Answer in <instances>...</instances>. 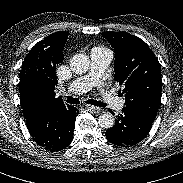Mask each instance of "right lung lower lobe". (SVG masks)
I'll list each match as a JSON object with an SVG mask.
<instances>
[{
  "label": "right lung lower lobe",
  "mask_w": 183,
  "mask_h": 183,
  "mask_svg": "<svg viewBox=\"0 0 183 183\" xmlns=\"http://www.w3.org/2000/svg\"><path fill=\"white\" fill-rule=\"evenodd\" d=\"M77 113L73 106L39 107L26 117V125L37 144L59 151L72 142Z\"/></svg>",
  "instance_id": "right-lung-lower-lobe-1"
}]
</instances>
